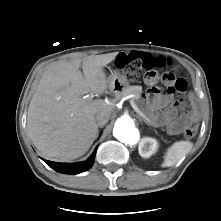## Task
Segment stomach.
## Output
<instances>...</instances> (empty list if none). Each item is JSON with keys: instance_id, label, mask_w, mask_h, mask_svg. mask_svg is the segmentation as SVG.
<instances>
[{"instance_id": "stomach-1", "label": "stomach", "mask_w": 221, "mask_h": 221, "mask_svg": "<svg viewBox=\"0 0 221 221\" xmlns=\"http://www.w3.org/2000/svg\"><path fill=\"white\" fill-rule=\"evenodd\" d=\"M109 89L116 94H120L129 86V82L125 75L114 72L108 78Z\"/></svg>"}]
</instances>
